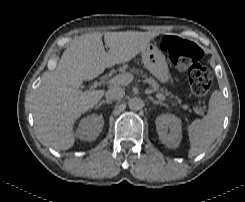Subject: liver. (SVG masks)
Returning <instances> with one entry per match:
<instances>
[{
    "label": "liver",
    "instance_id": "liver-1",
    "mask_svg": "<svg viewBox=\"0 0 245 202\" xmlns=\"http://www.w3.org/2000/svg\"><path fill=\"white\" fill-rule=\"evenodd\" d=\"M91 33L73 40L56 68L39 86L33 117L42 141L56 150H68L75 143V121L103 97V90L82 91L83 81L92 80L108 67L126 63L139 54L157 33L125 31Z\"/></svg>",
    "mask_w": 245,
    "mask_h": 202
}]
</instances>
